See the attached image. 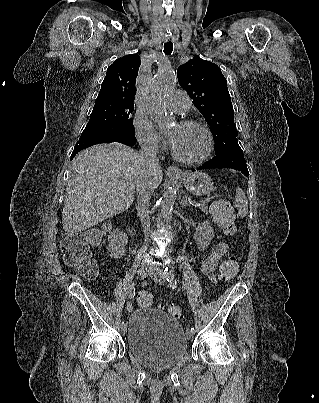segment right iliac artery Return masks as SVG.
<instances>
[{"mask_svg": "<svg viewBox=\"0 0 319 403\" xmlns=\"http://www.w3.org/2000/svg\"><path fill=\"white\" fill-rule=\"evenodd\" d=\"M134 296H135V288L134 289L132 288L130 293H129V297L133 298ZM124 324H125L124 321H122L121 326H123Z\"/></svg>", "mask_w": 319, "mask_h": 403, "instance_id": "82829eb1", "label": "right iliac artery"}]
</instances>
